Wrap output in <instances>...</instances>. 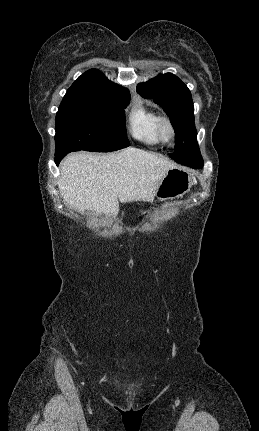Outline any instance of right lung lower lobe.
<instances>
[{
  "label": "right lung lower lobe",
  "instance_id": "98d812e1",
  "mask_svg": "<svg viewBox=\"0 0 259 431\" xmlns=\"http://www.w3.org/2000/svg\"><path fill=\"white\" fill-rule=\"evenodd\" d=\"M68 154V152H56L55 153V163L58 165L60 161Z\"/></svg>",
  "mask_w": 259,
  "mask_h": 431
}]
</instances>
